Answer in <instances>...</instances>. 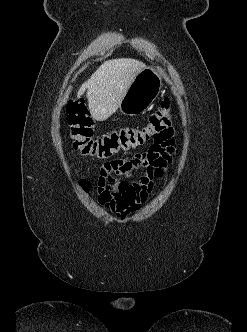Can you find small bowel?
Here are the masks:
<instances>
[{
    "label": "small bowel",
    "mask_w": 247,
    "mask_h": 332,
    "mask_svg": "<svg viewBox=\"0 0 247 332\" xmlns=\"http://www.w3.org/2000/svg\"><path fill=\"white\" fill-rule=\"evenodd\" d=\"M173 139L154 145L132 158H115L102 163L98 177L99 202L119 217L137 211L151 193L155 181L163 176L172 161ZM143 173L131 181L133 171Z\"/></svg>",
    "instance_id": "small-bowel-1"
}]
</instances>
